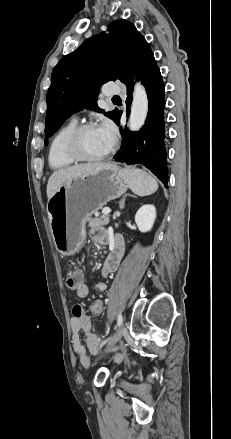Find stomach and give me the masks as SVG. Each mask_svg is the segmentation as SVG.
I'll list each match as a JSON object with an SVG mask.
<instances>
[{"label": "stomach", "mask_w": 231, "mask_h": 439, "mask_svg": "<svg viewBox=\"0 0 231 439\" xmlns=\"http://www.w3.org/2000/svg\"><path fill=\"white\" fill-rule=\"evenodd\" d=\"M127 189L122 169L112 163L63 184L47 203L57 251L63 256L76 254L85 240L88 218Z\"/></svg>", "instance_id": "obj_1"}]
</instances>
